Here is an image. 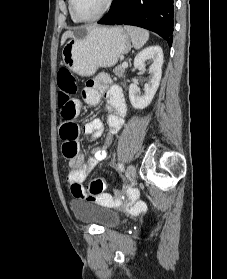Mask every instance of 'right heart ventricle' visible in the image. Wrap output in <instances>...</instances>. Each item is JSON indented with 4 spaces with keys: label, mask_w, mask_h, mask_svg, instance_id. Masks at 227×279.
<instances>
[{
    "label": "right heart ventricle",
    "mask_w": 227,
    "mask_h": 279,
    "mask_svg": "<svg viewBox=\"0 0 227 279\" xmlns=\"http://www.w3.org/2000/svg\"><path fill=\"white\" fill-rule=\"evenodd\" d=\"M68 8H69V4H68ZM71 14V13H70ZM71 18H72V21L73 22H77V20H75L73 17H72V15H71Z\"/></svg>",
    "instance_id": "obj_1"
}]
</instances>
